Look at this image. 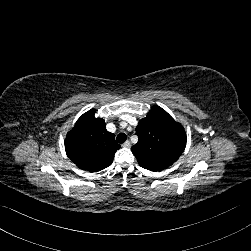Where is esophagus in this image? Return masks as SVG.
<instances>
[{
    "mask_svg": "<svg viewBox=\"0 0 251 251\" xmlns=\"http://www.w3.org/2000/svg\"><path fill=\"white\" fill-rule=\"evenodd\" d=\"M122 146L125 147V148H129V147L131 146L130 141L127 140L126 142H124V143L122 144Z\"/></svg>",
    "mask_w": 251,
    "mask_h": 251,
    "instance_id": "1",
    "label": "esophagus"
}]
</instances>
